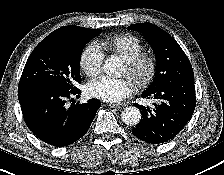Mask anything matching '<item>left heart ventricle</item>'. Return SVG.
I'll return each mask as SVG.
<instances>
[{"instance_id": "b2bd125f", "label": "left heart ventricle", "mask_w": 224, "mask_h": 175, "mask_svg": "<svg viewBox=\"0 0 224 175\" xmlns=\"http://www.w3.org/2000/svg\"><path fill=\"white\" fill-rule=\"evenodd\" d=\"M124 72L127 73V69L126 68H125Z\"/></svg>"}]
</instances>
